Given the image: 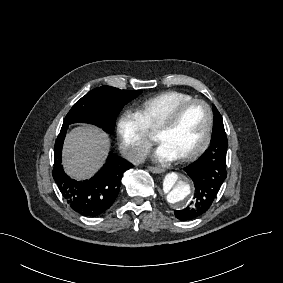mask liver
Listing matches in <instances>:
<instances>
[{"instance_id":"6515ba94","label":"liver","mask_w":283,"mask_h":283,"mask_svg":"<svg viewBox=\"0 0 283 283\" xmlns=\"http://www.w3.org/2000/svg\"><path fill=\"white\" fill-rule=\"evenodd\" d=\"M109 149V135L101 129L91 125L72 129L63 146L62 164L67 175L89 179L102 167Z\"/></svg>"}]
</instances>
